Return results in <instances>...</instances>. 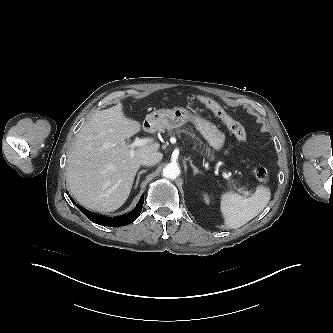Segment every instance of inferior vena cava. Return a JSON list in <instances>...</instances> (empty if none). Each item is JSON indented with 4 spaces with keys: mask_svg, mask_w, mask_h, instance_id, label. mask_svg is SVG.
Returning a JSON list of instances; mask_svg holds the SVG:
<instances>
[{
    "mask_svg": "<svg viewBox=\"0 0 333 333\" xmlns=\"http://www.w3.org/2000/svg\"><path fill=\"white\" fill-rule=\"evenodd\" d=\"M163 155L160 152H152L144 155L141 158V164L144 166H153L161 161Z\"/></svg>",
    "mask_w": 333,
    "mask_h": 333,
    "instance_id": "602c4592",
    "label": "inferior vena cava"
}]
</instances>
